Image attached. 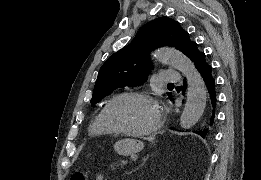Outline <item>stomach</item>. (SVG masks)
<instances>
[{
	"label": "stomach",
	"instance_id": "1",
	"mask_svg": "<svg viewBox=\"0 0 261 180\" xmlns=\"http://www.w3.org/2000/svg\"><path fill=\"white\" fill-rule=\"evenodd\" d=\"M143 143L134 139H121L114 144V150L122 156H129L140 152L143 149Z\"/></svg>",
	"mask_w": 261,
	"mask_h": 180
}]
</instances>
